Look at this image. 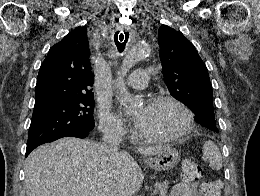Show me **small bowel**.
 <instances>
[{
    "label": "small bowel",
    "mask_w": 260,
    "mask_h": 196,
    "mask_svg": "<svg viewBox=\"0 0 260 196\" xmlns=\"http://www.w3.org/2000/svg\"><path fill=\"white\" fill-rule=\"evenodd\" d=\"M205 187L206 184L202 186L203 192ZM170 196H200V189L195 182H180L173 187Z\"/></svg>",
    "instance_id": "c3829d8e"
}]
</instances>
